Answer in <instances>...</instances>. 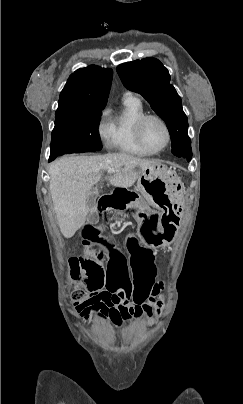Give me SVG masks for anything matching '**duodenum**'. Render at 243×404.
I'll return each mask as SVG.
<instances>
[{
  "mask_svg": "<svg viewBox=\"0 0 243 404\" xmlns=\"http://www.w3.org/2000/svg\"><path fill=\"white\" fill-rule=\"evenodd\" d=\"M137 194L123 187L115 188L110 194L101 197L98 201V210H124L131 208L137 201Z\"/></svg>",
  "mask_w": 243,
  "mask_h": 404,
  "instance_id": "duodenum-1",
  "label": "duodenum"
}]
</instances>
